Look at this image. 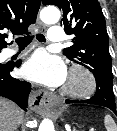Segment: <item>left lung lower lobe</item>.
Instances as JSON below:
<instances>
[{
	"label": "left lung lower lobe",
	"mask_w": 117,
	"mask_h": 131,
	"mask_svg": "<svg viewBox=\"0 0 117 131\" xmlns=\"http://www.w3.org/2000/svg\"><path fill=\"white\" fill-rule=\"evenodd\" d=\"M66 103H87L101 105L111 109L117 115L113 93L108 88H97L95 95L89 100L67 99Z\"/></svg>",
	"instance_id": "0a47b994"
}]
</instances>
